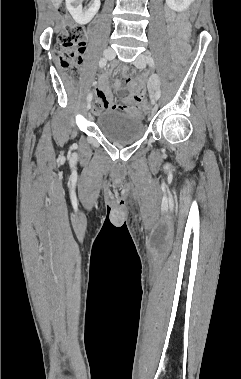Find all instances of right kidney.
I'll list each match as a JSON object with an SVG mask.
<instances>
[{"label": "right kidney", "instance_id": "obj_1", "mask_svg": "<svg viewBox=\"0 0 241 379\" xmlns=\"http://www.w3.org/2000/svg\"><path fill=\"white\" fill-rule=\"evenodd\" d=\"M83 0H66V8L79 25L89 23L100 8V0H92L89 7H82Z\"/></svg>", "mask_w": 241, "mask_h": 379}]
</instances>
